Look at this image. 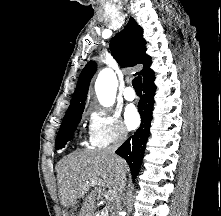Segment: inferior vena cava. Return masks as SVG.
<instances>
[{
  "label": "inferior vena cava",
  "instance_id": "1",
  "mask_svg": "<svg viewBox=\"0 0 221 216\" xmlns=\"http://www.w3.org/2000/svg\"><path fill=\"white\" fill-rule=\"evenodd\" d=\"M127 138V132L125 130H121L119 133L116 141L113 143V145L107 147L105 150L107 154L111 155L115 159V167L117 171V187H116V203L114 207V216H118L119 212L122 210L121 201H122V195L123 191L125 189L126 185V175L125 171L122 169L121 163L118 159V157L115 154V151L117 148L125 141Z\"/></svg>",
  "mask_w": 221,
  "mask_h": 216
}]
</instances>
